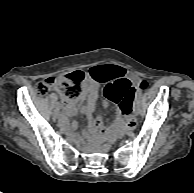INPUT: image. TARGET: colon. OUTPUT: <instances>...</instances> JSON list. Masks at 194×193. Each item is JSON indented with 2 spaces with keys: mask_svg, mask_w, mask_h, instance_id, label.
<instances>
[{
  "mask_svg": "<svg viewBox=\"0 0 194 193\" xmlns=\"http://www.w3.org/2000/svg\"><path fill=\"white\" fill-rule=\"evenodd\" d=\"M84 80V73L80 70L67 73L60 77H51L45 81L37 82L34 85L35 91L40 95H45L51 86H58L66 101H75L80 98L82 94V82ZM144 86V83L141 84ZM117 87H121L124 91L132 93L135 89L132 82L120 75L115 83L107 85L104 90V94L109 98L115 97ZM130 120L126 124L118 127V131L121 134L125 128L132 126Z\"/></svg>",
  "mask_w": 194,
  "mask_h": 193,
  "instance_id": "5ec220e1",
  "label": "colon"
}]
</instances>
